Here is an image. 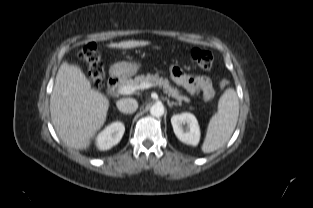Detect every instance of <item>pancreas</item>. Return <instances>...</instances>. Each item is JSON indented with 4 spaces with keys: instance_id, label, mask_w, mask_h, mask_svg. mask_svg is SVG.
Listing matches in <instances>:
<instances>
[{
    "instance_id": "cf45deb5",
    "label": "pancreas",
    "mask_w": 313,
    "mask_h": 208,
    "mask_svg": "<svg viewBox=\"0 0 313 208\" xmlns=\"http://www.w3.org/2000/svg\"><path fill=\"white\" fill-rule=\"evenodd\" d=\"M151 83L154 85H158L159 87L163 88L164 93L168 94L169 96L175 98L176 100H178L180 103L182 101L185 102H190V99L186 96H183L182 94H180L179 90L177 88H173L168 79H164L162 77H159L158 74L155 75H150L147 74V76L144 75H139L136 76L134 79H124L120 82L119 86H118V90L126 85H130V86H138L141 83Z\"/></svg>"
}]
</instances>
